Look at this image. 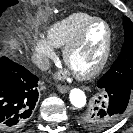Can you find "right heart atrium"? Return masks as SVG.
<instances>
[{
  "label": "right heart atrium",
  "instance_id": "d8ad5b80",
  "mask_svg": "<svg viewBox=\"0 0 133 133\" xmlns=\"http://www.w3.org/2000/svg\"><path fill=\"white\" fill-rule=\"evenodd\" d=\"M33 50L38 53L43 60H50L55 57L54 48L44 37L38 36L33 39Z\"/></svg>",
  "mask_w": 133,
  "mask_h": 133
}]
</instances>
